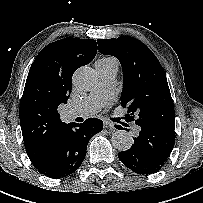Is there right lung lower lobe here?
<instances>
[{
	"label": "right lung lower lobe",
	"instance_id": "right-lung-lower-lobe-1",
	"mask_svg": "<svg viewBox=\"0 0 203 203\" xmlns=\"http://www.w3.org/2000/svg\"><path fill=\"white\" fill-rule=\"evenodd\" d=\"M102 128L103 122L96 118H89L82 124H66L49 153L33 165L40 173L54 179L72 174L85 158L88 141Z\"/></svg>",
	"mask_w": 203,
	"mask_h": 203
}]
</instances>
